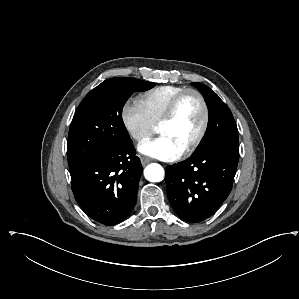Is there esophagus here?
Instances as JSON below:
<instances>
[{
  "instance_id": "obj_1",
  "label": "esophagus",
  "mask_w": 299,
  "mask_h": 299,
  "mask_svg": "<svg viewBox=\"0 0 299 299\" xmlns=\"http://www.w3.org/2000/svg\"><path fill=\"white\" fill-rule=\"evenodd\" d=\"M140 161H141V164L143 166H145L146 164H148L149 162H151V159L150 158H147V157H141L140 158Z\"/></svg>"
}]
</instances>
